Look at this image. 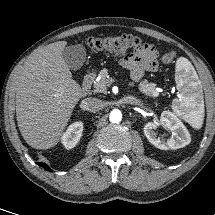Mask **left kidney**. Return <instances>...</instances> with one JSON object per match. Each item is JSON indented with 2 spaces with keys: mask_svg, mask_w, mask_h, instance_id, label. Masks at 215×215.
<instances>
[{
  "mask_svg": "<svg viewBox=\"0 0 215 215\" xmlns=\"http://www.w3.org/2000/svg\"><path fill=\"white\" fill-rule=\"evenodd\" d=\"M159 125L165 126L171 131V138L165 139L163 137H158L155 130ZM144 134L152 145L161 150L179 149L191 142L190 133L187 128L183 125L181 120L170 111H164L161 114L159 122H148L144 126Z\"/></svg>",
  "mask_w": 215,
  "mask_h": 215,
  "instance_id": "left-kidney-1",
  "label": "left kidney"
}]
</instances>
